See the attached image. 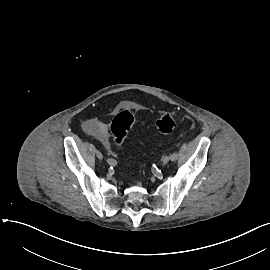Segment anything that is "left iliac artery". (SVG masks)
<instances>
[{"label": "left iliac artery", "mask_w": 270, "mask_h": 270, "mask_svg": "<svg viewBox=\"0 0 270 270\" xmlns=\"http://www.w3.org/2000/svg\"><path fill=\"white\" fill-rule=\"evenodd\" d=\"M170 159L171 161H176L178 159V153L174 152L173 154H171Z\"/></svg>", "instance_id": "obj_1"}]
</instances>
